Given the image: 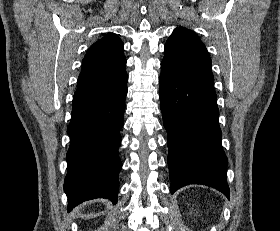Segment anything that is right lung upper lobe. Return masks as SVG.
I'll use <instances>...</instances> for the list:
<instances>
[{
	"label": "right lung upper lobe",
	"mask_w": 280,
	"mask_h": 231,
	"mask_svg": "<svg viewBox=\"0 0 280 231\" xmlns=\"http://www.w3.org/2000/svg\"><path fill=\"white\" fill-rule=\"evenodd\" d=\"M82 63L73 103L89 101L127 84L123 43L113 33L95 42Z\"/></svg>",
	"instance_id": "cb5924a9"
}]
</instances>
